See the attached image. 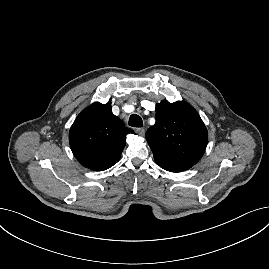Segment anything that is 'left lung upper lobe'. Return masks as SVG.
Instances as JSON below:
<instances>
[{
    "mask_svg": "<svg viewBox=\"0 0 269 269\" xmlns=\"http://www.w3.org/2000/svg\"><path fill=\"white\" fill-rule=\"evenodd\" d=\"M160 167L193 166L205 152L207 129L197 111L185 101L156 105V123L146 132Z\"/></svg>",
    "mask_w": 269,
    "mask_h": 269,
    "instance_id": "1",
    "label": "left lung upper lobe"
}]
</instances>
